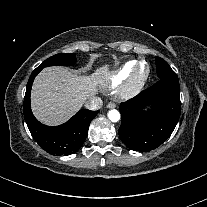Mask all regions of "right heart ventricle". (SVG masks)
<instances>
[{"instance_id": "1", "label": "right heart ventricle", "mask_w": 207, "mask_h": 207, "mask_svg": "<svg viewBox=\"0 0 207 207\" xmlns=\"http://www.w3.org/2000/svg\"><path fill=\"white\" fill-rule=\"evenodd\" d=\"M135 61L131 60L124 63L115 73L110 75L104 82L108 88H113L119 85L131 72Z\"/></svg>"}]
</instances>
